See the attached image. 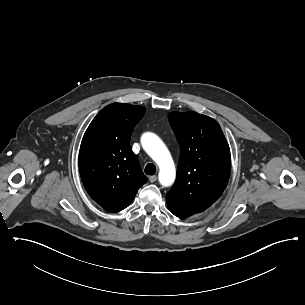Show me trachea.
I'll return each mask as SVG.
<instances>
[{"label":"trachea","mask_w":305,"mask_h":305,"mask_svg":"<svg viewBox=\"0 0 305 305\" xmlns=\"http://www.w3.org/2000/svg\"><path fill=\"white\" fill-rule=\"evenodd\" d=\"M145 173L147 175H154L156 173V166L154 164H147L145 167Z\"/></svg>","instance_id":"1"}]
</instances>
